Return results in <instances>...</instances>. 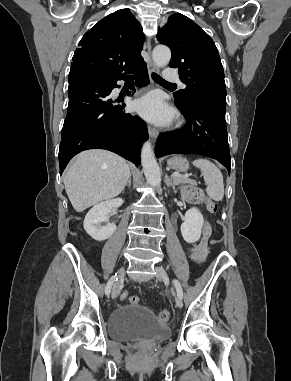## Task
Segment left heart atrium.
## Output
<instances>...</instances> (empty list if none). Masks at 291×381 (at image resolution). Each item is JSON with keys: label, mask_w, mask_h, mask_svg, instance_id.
<instances>
[{"label": "left heart atrium", "mask_w": 291, "mask_h": 381, "mask_svg": "<svg viewBox=\"0 0 291 381\" xmlns=\"http://www.w3.org/2000/svg\"><path fill=\"white\" fill-rule=\"evenodd\" d=\"M134 109L146 120L156 124H166L173 116L171 109L163 102L160 94L152 92L137 99Z\"/></svg>", "instance_id": "39dd6f15"}]
</instances>
